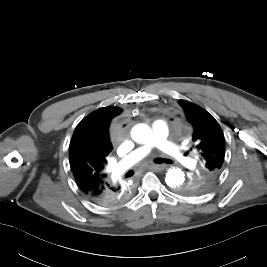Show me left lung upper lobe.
Instances as JSON below:
<instances>
[{
    "label": "left lung upper lobe",
    "instance_id": "1",
    "mask_svg": "<svg viewBox=\"0 0 267 267\" xmlns=\"http://www.w3.org/2000/svg\"><path fill=\"white\" fill-rule=\"evenodd\" d=\"M179 104L193 128V147L201 156L199 168L179 188V192L198 195L210 190L223 170L225 139L219 124L206 110L186 100H179Z\"/></svg>",
    "mask_w": 267,
    "mask_h": 267
}]
</instances>
